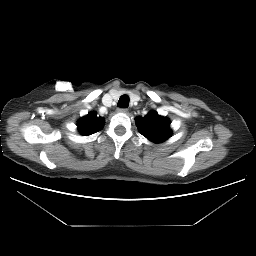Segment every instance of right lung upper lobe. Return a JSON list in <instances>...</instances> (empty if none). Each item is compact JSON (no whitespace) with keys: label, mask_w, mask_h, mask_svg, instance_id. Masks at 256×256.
Wrapping results in <instances>:
<instances>
[{"label":"right lung upper lobe","mask_w":256,"mask_h":256,"mask_svg":"<svg viewBox=\"0 0 256 256\" xmlns=\"http://www.w3.org/2000/svg\"><path fill=\"white\" fill-rule=\"evenodd\" d=\"M104 125V119L97 117L95 112H92L78 121V130L83 135H91L102 129Z\"/></svg>","instance_id":"obj_1"}]
</instances>
